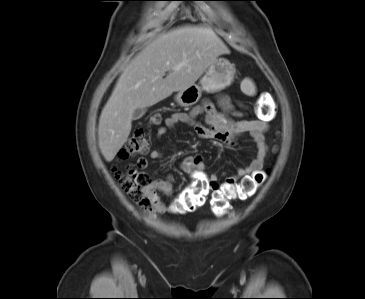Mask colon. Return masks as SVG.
<instances>
[{
    "label": "colon",
    "instance_id": "obj_1",
    "mask_svg": "<svg viewBox=\"0 0 365 299\" xmlns=\"http://www.w3.org/2000/svg\"><path fill=\"white\" fill-rule=\"evenodd\" d=\"M259 115L269 118L272 111L268 106L259 109ZM149 143L142 129H136L125 146L118 152V158L125 160L131 155L144 153L148 150ZM116 179L121 189L141 209L150 210L154 204L152 189L146 175L128 166L125 170L115 171ZM268 172H257L245 176L240 182H231L222 185L208 184L196 181L187 186L173 204L175 213H187L202 206L207 196L212 193L211 210L215 215H222L232 199H247L263 184Z\"/></svg>",
    "mask_w": 365,
    "mask_h": 299
}]
</instances>
